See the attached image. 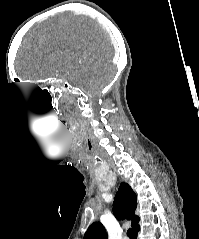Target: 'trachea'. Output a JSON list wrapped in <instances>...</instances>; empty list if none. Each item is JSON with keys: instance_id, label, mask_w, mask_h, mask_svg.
I'll return each instance as SVG.
<instances>
[{"instance_id": "3493384b", "label": "trachea", "mask_w": 199, "mask_h": 239, "mask_svg": "<svg viewBox=\"0 0 199 239\" xmlns=\"http://www.w3.org/2000/svg\"><path fill=\"white\" fill-rule=\"evenodd\" d=\"M127 236L129 237V239H134V232L132 228H129L127 230Z\"/></svg>"}]
</instances>
